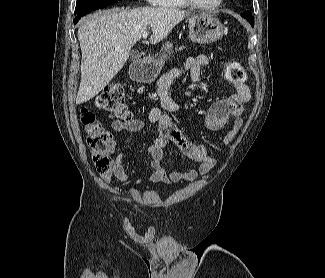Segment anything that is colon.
<instances>
[{
	"instance_id": "colon-1",
	"label": "colon",
	"mask_w": 325,
	"mask_h": 278,
	"mask_svg": "<svg viewBox=\"0 0 325 278\" xmlns=\"http://www.w3.org/2000/svg\"><path fill=\"white\" fill-rule=\"evenodd\" d=\"M225 75L229 82L236 85L243 84L246 80V72L237 61H229L226 64ZM95 106L109 113L114 120H131L125 91L119 85H111L102 90L96 96ZM80 118L87 135V143L92 150L94 165L98 171L105 172L112 163L111 156L115 151V141L109 130L89 108L81 110Z\"/></svg>"
}]
</instances>
